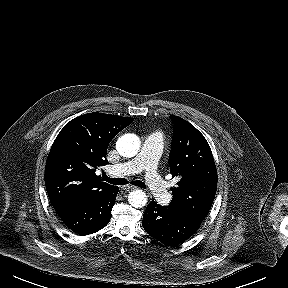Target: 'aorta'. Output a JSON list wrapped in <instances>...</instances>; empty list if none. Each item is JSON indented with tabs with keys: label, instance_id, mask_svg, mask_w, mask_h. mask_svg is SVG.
Returning <instances> with one entry per match:
<instances>
[{
	"label": "aorta",
	"instance_id": "1",
	"mask_svg": "<svg viewBox=\"0 0 288 288\" xmlns=\"http://www.w3.org/2000/svg\"><path fill=\"white\" fill-rule=\"evenodd\" d=\"M140 148V140L135 134H125L121 136L117 143L116 149L123 157H134ZM128 202L135 208L144 207L147 203L146 193L142 190H134L128 195Z\"/></svg>",
	"mask_w": 288,
	"mask_h": 288
}]
</instances>
